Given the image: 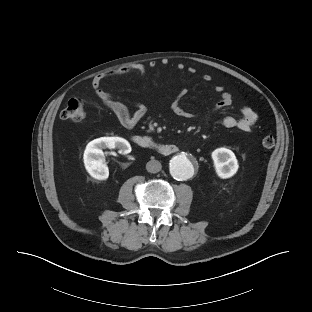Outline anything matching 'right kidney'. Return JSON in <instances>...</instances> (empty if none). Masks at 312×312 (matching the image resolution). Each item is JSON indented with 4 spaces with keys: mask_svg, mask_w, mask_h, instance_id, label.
I'll use <instances>...</instances> for the list:
<instances>
[{
    "mask_svg": "<svg viewBox=\"0 0 312 312\" xmlns=\"http://www.w3.org/2000/svg\"><path fill=\"white\" fill-rule=\"evenodd\" d=\"M117 148L120 154L131 152L129 142L120 137H101L89 142L84 151V165L87 172L97 180H106L109 170L105 163L104 152L102 149Z\"/></svg>",
    "mask_w": 312,
    "mask_h": 312,
    "instance_id": "1",
    "label": "right kidney"
}]
</instances>
